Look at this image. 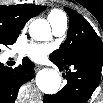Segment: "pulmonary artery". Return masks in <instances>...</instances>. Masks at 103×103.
<instances>
[{"instance_id": "obj_1", "label": "pulmonary artery", "mask_w": 103, "mask_h": 103, "mask_svg": "<svg viewBox=\"0 0 103 103\" xmlns=\"http://www.w3.org/2000/svg\"><path fill=\"white\" fill-rule=\"evenodd\" d=\"M51 27L55 36H63L67 30V19L64 17L57 22L51 23Z\"/></svg>"}]
</instances>
